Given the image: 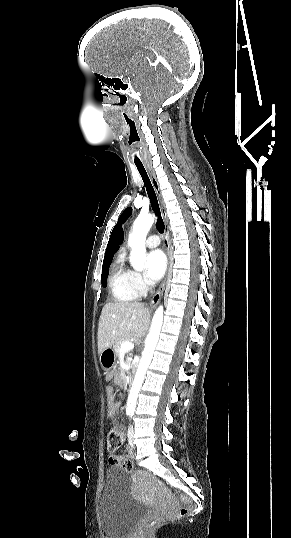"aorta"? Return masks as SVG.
Wrapping results in <instances>:
<instances>
[{"label": "aorta", "instance_id": "1", "mask_svg": "<svg viewBox=\"0 0 291 538\" xmlns=\"http://www.w3.org/2000/svg\"><path fill=\"white\" fill-rule=\"evenodd\" d=\"M154 221L155 217L151 214H140L133 224V230L129 236L128 243L132 247L130 263L136 270H142L144 268L146 258V236ZM163 312V307L159 306L153 316L150 331L145 339V348L142 353V358L139 362L135 379L128 395L126 405L127 414H134L137 397L159 339L163 323Z\"/></svg>", "mask_w": 291, "mask_h": 538}]
</instances>
